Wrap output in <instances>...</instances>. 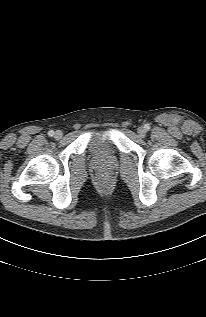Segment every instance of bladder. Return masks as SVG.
<instances>
[{"mask_svg":"<svg viewBox=\"0 0 206 317\" xmlns=\"http://www.w3.org/2000/svg\"><path fill=\"white\" fill-rule=\"evenodd\" d=\"M114 146L110 140L109 133L99 132L93 135L89 145V152L91 154L99 155L106 150L113 149Z\"/></svg>","mask_w":206,"mask_h":317,"instance_id":"bladder-1","label":"bladder"}]
</instances>
